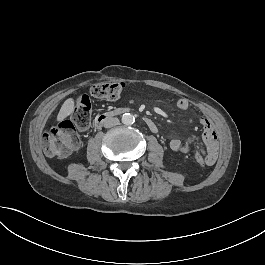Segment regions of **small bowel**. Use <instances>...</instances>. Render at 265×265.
Returning a JSON list of instances; mask_svg holds the SVG:
<instances>
[{
  "instance_id": "obj_1",
  "label": "small bowel",
  "mask_w": 265,
  "mask_h": 265,
  "mask_svg": "<svg viewBox=\"0 0 265 265\" xmlns=\"http://www.w3.org/2000/svg\"><path fill=\"white\" fill-rule=\"evenodd\" d=\"M176 106L180 111L185 112L190 108V102L185 98H179L176 101ZM200 123L203 127V138L205 141V147H201V151L205 157V164L210 166L216 162L218 157L216 136L212 124L208 118L201 117ZM193 143V138H187L185 140L174 138L169 142V147L174 152H188L191 149Z\"/></svg>"
}]
</instances>
